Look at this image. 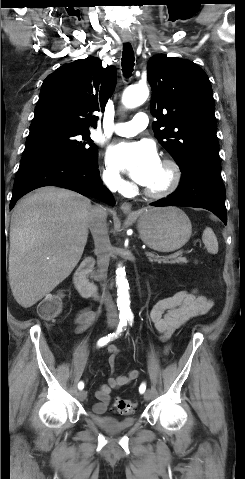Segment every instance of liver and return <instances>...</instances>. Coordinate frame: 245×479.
<instances>
[{"label":"liver","mask_w":245,"mask_h":479,"mask_svg":"<svg viewBox=\"0 0 245 479\" xmlns=\"http://www.w3.org/2000/svg\"><path fill=\"white\" fill-rule=\"evenodd\" d=\"M91 201L73 191L42 187L15 206L10 224L9 281L15 300L29 308L65 280L88 238Z\"/></svg>","instance_id":"liver-1"}]
</instances>
